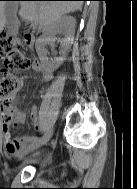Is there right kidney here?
<instances>
[{
  "label": "right kidney",
  "instance_id": "1",
  "mask_svg": "<svg viewBox=\"0 0 137 189\" xmlns=\"http://www.w3.org/2000/svg\"><path fill=\"white\" fill-rule=\"evenodd\" d=\"M74 23L75 20L72 17H61L37 39L35 44L36 51L41 64L46 71L52 72L56 70L65 60L67 52L70 50L74 40ZM58 32L65 34V38L61 41V56L54 59H49L46 46L49 44L54 45V42L56 40L55 35Z\"/></svg>",
  "mask_w": 137,
  "mask_h": 189
}]
</instances>
